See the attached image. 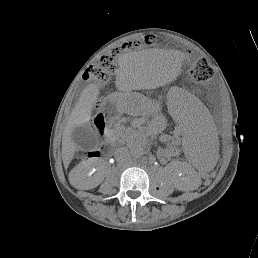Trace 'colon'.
Segmentation results:
<instances>
[{
    "instance_id": "obj_1",
    "label": "colon",
    "mask_w": 258,
    "mask_h": 258,
    "mask_svg": "<svg viewBox=\"0 0 258 258\" xmlns=\"http://www.w3.org/2000/svg\"><path fill=\"white\" fill-rule=\"evenodd\" d=\"M154 35H145L140 39H132L121 46L114 47L110 52L101 55L84 73L85 79L98 84L106 83L115 69L116 59L124 51L136 50L143 47H151L155 44ZM213 75L208 62L197 61L191 68L192 78L199 83L207 82Z\"/></svg>"
}]
</instances>
